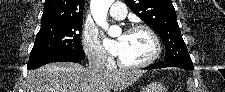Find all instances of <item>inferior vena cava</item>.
Instances as JSON below:
<instances>
[{
    "mask_svg": "<svg viewBox=\"0 0 225 92\" xmlns=\"http://www.w3.org/2000/svg\"><path fill=\"white\" fill-rule=\"evenodd\" d=\"M89 70L94 72L105 71V57L98 51L89 58Z\"/></svg>",
    "mask_w": 225,
    "mask_h": 92,
    "instance_id": "obj_1",
    "label": "inferior vena cava"
}]
</instances>
